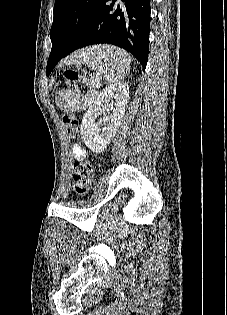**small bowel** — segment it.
Masks as SVG:
<instances>
[{
  "mask_svg": "<svg viewBox=\"0 0 227 315\" xmlns=\"http://www.w3.org/2000/svg\"><path fill=\"white\" fill-rule=\"evenodd\" d=\"M72 154H73V157H74L76 160H81V159H83L84 156H85L84 150H83L82 147L79 146L78 144H75V145L72 147Z\"/></svg>",
  "mask_w": 227,
  "mask_h": 315,
  "instance_id": "obj_1",
  "label": "small bowel"
}]
</instances>
